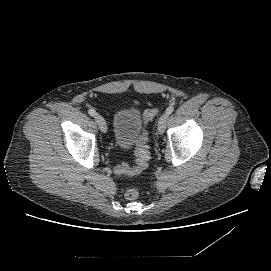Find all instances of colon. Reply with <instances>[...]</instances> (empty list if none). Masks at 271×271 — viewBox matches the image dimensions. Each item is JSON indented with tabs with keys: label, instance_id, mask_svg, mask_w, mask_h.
Instances as JSON below:
<instances>
[{
	"label": "colon",
	"instance_id": "colon-1",
	"mask_svg": "<svg viewBox=\"0 0 271 271\" xmlns=\"http://www.w3.org/2000/svg\"><path fill=\"white\" fill-rule=\"evenodd\" d=\"M156 114H157L156 109L146 110L143 115L144 123L150 121ZM135 154H136V164L134 166H130L127 163L117 165L115 170L118 174L121 175L135 174L147 167L148 161L150 159V154L148 151L145 132H142V134L139 137ZM125 197L128 200H135L139 197V190L134 187L128 188L125 191Z\"/></svg>",
	"mask_w": 271,
	"mask_h": 271
}]
</instances>
